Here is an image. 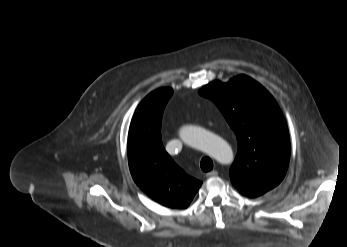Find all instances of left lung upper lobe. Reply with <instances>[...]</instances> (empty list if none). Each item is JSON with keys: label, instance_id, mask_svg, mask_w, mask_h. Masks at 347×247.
Listing matches in <instances>:
<instances>
[{"label": "left lung upper lobe", "instance_id": "left-lung-upper-lobe-1", "mask_svg": "<svg viewBox=\"0 0 347 247\" xmlns=\"http://www.w3.org/2000/svg\"><path fill=\"white\" fill-rule=\"evenodd\" d=\"M199 93L217 105L236 134L238 152L230 168L234 186L260 194L277 186L288 168L290 140L272 95L246 75L213 81Z\"/></svg>", "mask_w": 347, "mask_h": 247}]
</instances>
